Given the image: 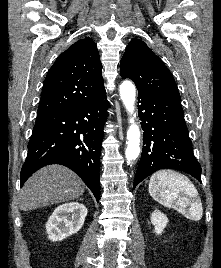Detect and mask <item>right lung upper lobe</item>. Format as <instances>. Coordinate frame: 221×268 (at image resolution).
<instances>
[{
    "mask_svg": "<svg viewBox=\"0 0 221 268\" xmlns=\"http://www.w3.org/2000/svg\"><path fill=\"white\" fill-rule=\"evenodd\" d=\"M102 64L95 42L85 38L71 45L50 68L37 114L93 102L105 95Z\"/></svg>",
    "mask_w": 221,
    "mask_h": 268,
    "instance_id": "1",
    "label": "right lung upper lobe"
}]
</instances>
